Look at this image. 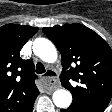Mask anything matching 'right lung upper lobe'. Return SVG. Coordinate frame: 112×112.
I'll return each mask as SVG.
<instances>
[{
	"mask_svg": "<svg viewBox=\"0 0 112 112\" xmlns=\"http://www.w3.org/2000/svg\"><path fill=\"white\" fill-rule=\"evenodd\" d=\"M37 31L15 24L0 27V112H29L39 95L34 64L19 55Z\"/></svg>",
	"mask_w": 112,
	"mask_h": 112,
	"instance_id": "obj_1",
	"label": "right lung upper lobe"
}]
</instances>
